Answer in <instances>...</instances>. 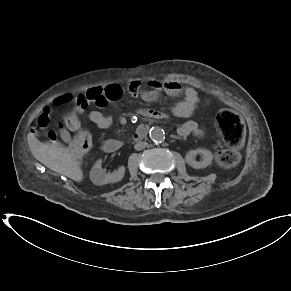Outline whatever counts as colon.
Returning a JSON list of instances; mask_svg holds the SVG:
<instances>
[{
  "label": "colon",
  "instance_id": "5ec220e1",
  "mask_svg": "<svg viewBox=\"0 0 291 291\" xmlns=\"http://www.w3.org/2000/svg\"><path fill=\"white\" fill-rule=\"evenodd\" d=\"M77 106V97L72 93L64 94L58 97L54 102H45V111H56L57 107ZM217 128L229 146L227 149L220 150L217 153V161L223 166H231L238 162L239 154L236 150L244 139L245 126L242 119L231 110H221L216 117ZM59 131L70 129L74 132L69 145L76 155L84 154L91 146L90 134L81 128L74 115L68 116L58 125ZM48 139H55L57 133L53 128L46 132Z\"/></svg>",
  "mask_w": 291,
  "mask_h": 291
}]
</instances>
